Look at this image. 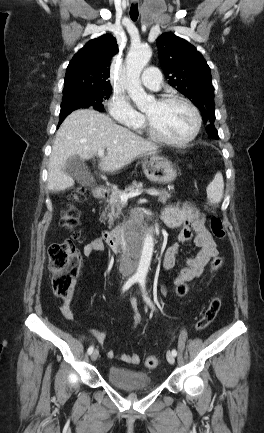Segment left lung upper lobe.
<instances>
[{"label": "left lung upper lobe", "mask_w": 264, "mask_h": 433, "mask_svg": "<svg viewBox=\"0 0 264 433\" xmlns=\"http://www.w3.org/2000/svg\"><path fill=\"white\" fill-rule=\"evenodd\" d=\"M160 64L169 84L191 100L207 123V134L218 139L214 126V88L211 71L202 54L186 40L164 33L156 40Z\"/></svg>", "instance_id": "5c2ea615"}]
</instances>
